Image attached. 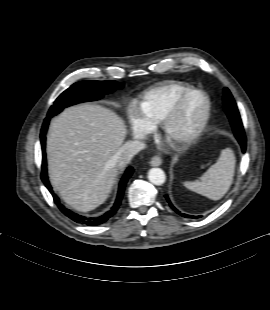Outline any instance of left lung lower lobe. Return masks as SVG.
Returning a JSON list of instances; mask_svg holds the SVG:
<instances>
[{
    "instance_id": "1",
    "label": "left lung lower lobe",
    "mask_w": 270,
    "mask_h": 310,
    "mask_svg": "<svg viewBox=\"0 0 270 310\" xmlns=\"http://www.w3.org/2000/svg\"><path fill=\"white\" fill-rule=\"evenodd\" d=\"M239 144L241 145V148H242V152H245V149H246V138H245V134H240L238 136H236ZM165 198H166V201L168 202V204L170 205V207L175 211L177 212L178 214H180L181 216L183 217H186V218H198V217H195V216H191V215H187V214H183V213H180V211H178L174 206L173 204L171 203L170 199H169V196L168 195H165Z\"/></svg>"
}]
</instances>
